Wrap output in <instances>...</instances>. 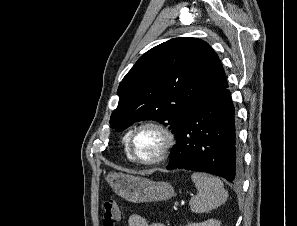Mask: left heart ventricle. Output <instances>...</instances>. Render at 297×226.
Returning <instances> with one entry per match:
<instances>
[{
	"label": "left heart ventricle",
	"mask_w": 297,
	"mask_h": 226,
	"mask_svg": "<svg viewBox=\"0 0 297 226\" xmlns=\"http://www.w3.org/2000/svg\"><path fill=\"white\" fill-rule=\"evenodd\" d=\"M163 138L159 132L151 128L140 130L133 141V148L138 157L150 159L159 151Z\"/></svg>",
	"instance_id": "b2bd125f"
}]
</instances>
